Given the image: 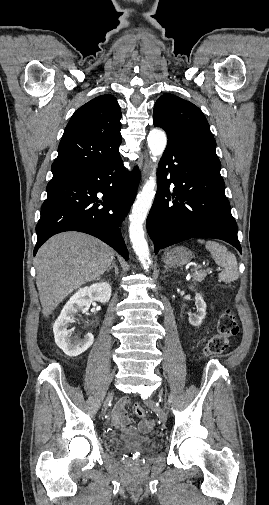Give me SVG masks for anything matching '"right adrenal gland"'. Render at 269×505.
I'll return each instance as SVG.
<instances>
[{
  "instance_id": "obj_1",
  "label": "right adrenal gland",
  "mask_w": 269,
  "mask_h": 505,
  "mask_svg": "<svg viewBox=\"0 0 269 505\" xmlns=\"http://www.w3.org/2000/svg\"><path fill=\"white\" fill-rule=\"evenodd\" d=\"M113 268L115 269V274L118 275L119 274V270H118V267L116 265L115 260H113L112 265L107 269V272H109Z\"/></svg>"
}]
</instances>
